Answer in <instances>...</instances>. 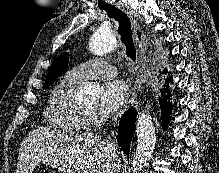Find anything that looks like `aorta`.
<instances>
[{
	"mask_svg": "<svg viewBox=\"0 0 219 173\" xmlns=\"http://www.w3.org/2000/svg\"><path fill=\"white\" fill-rule=\"evenodd\" d=\"M117 47V39L110 29H97L90 38L89 48L95 55L110 53ZM100 89L93 83H86L80 89V95L92 97L98 95ZM138 144L132 160V172L142 171L149 164L155 147L156 137L152 118L142 112L136 121Z\"/></svg>",
	"mask_w": 219,
	"mask_h": 173,
	"instance_id": "762f6f07",
	"label": "aorta"
}]
</instances>
